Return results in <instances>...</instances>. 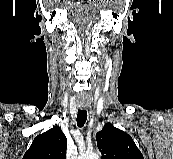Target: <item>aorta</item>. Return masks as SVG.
<instances>
[{
  "instance_id": "aorta-1",
  "label": "aorta",
  "mask_w": 173,
  "mask_h": 159,
  "mask_svg": "<svg viewBox=\"0 0 173 159\" xmlns=\"http://www.w3.org/2000/svg\"><path fill=\"white\" fill-rule=\"evenodd\" d=\"M79 159H100V156L94 152L81 153Z\"/></svg>"
}]
</instances>
